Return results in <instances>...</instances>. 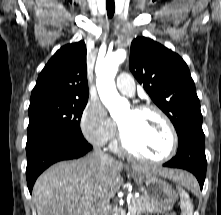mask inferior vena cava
I'll list each match as a JSON object with an SVG mask.
<instances>
[{"label":"inferior vena cava","mask_w":221,"mask_h":215,"mask_svg":"<svg viewBox=\"0 0 221 215\" xmlns=\"http://www.w3.org/2000/svg\"><path fill=\"white\" fill-rule=\"evenodd\" d=\"M99 162H107L113 160L110 156L102 152L100 149H95L91 156ZM108 203L103 199H98L91 208V215H108Z\"/></svg>","instance_id":"obj_1"}]
</instances>
